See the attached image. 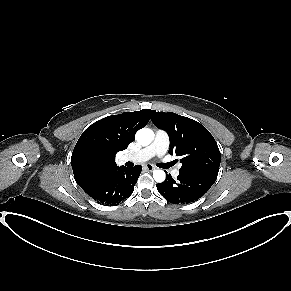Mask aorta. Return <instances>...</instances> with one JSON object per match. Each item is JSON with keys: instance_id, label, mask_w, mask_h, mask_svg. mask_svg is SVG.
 I'll list each match as a JSON object with an SVG mask.
<instances>
[{"instance_id": "762f6f07", "label": "aorta", "mask_w": 291, "mask_h": 291, "mask_svg": "<svg viewBox=\"0 0 291 291\" xmlns=\"http://www.w3.org/2000/svg\"><path fill=\"white\" fill-rule=\"evenodd\" d=\"M136 140L142 146H148L152 141V131L148 128H142L136 133ZM165 172L163 170L153 171V178L156 182H163L165 180Z\"/></svg>"}]
</instances>
